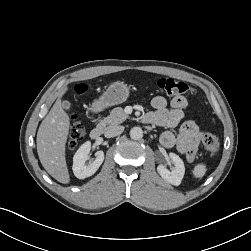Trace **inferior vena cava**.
Masks as SVG:
<instances>
[{
	"label": "inferior vena cava",
	"mask_w": 251,
	"mask_h": 251,
	"mask_svg": "<svg viewBox=\"0 0 251 251\" xmlns=\"http://www.w3.org/2000/svg\"><path fill=\"white\" fill-rule=\"evenodd\" d=\"M123 131H124L123 126H114V127L109 128L105 132V137L107 138L115 137L117 135H120Z\"/></svg>",
	"instance_id": "obj_1"
}]
</instances>
